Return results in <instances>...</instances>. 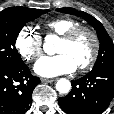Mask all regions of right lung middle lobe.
Wrapping results in <instances>:
<instances>
[{
	"mask_svg": "<svg viewBox=\"0 0 114 114\" xmlns=\"http://www.w3.org/2000/svg\"><path fill=\"white\" fill-rule=\"evenodd\" d=\"M49 10L25 9L22 11L3 10L0 12V69H9L24 64L15 42L23 26Z\"/></svg>",
	"mask_w": 114,
	"mask_h": 114,
	"instance_id": "dd1d6c3e",
	"label": "right lung middle lobe"
}]
</instances>
